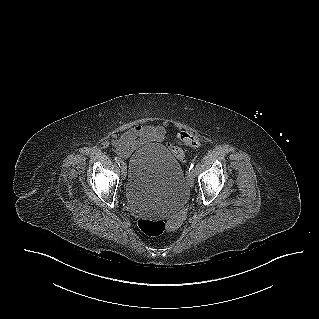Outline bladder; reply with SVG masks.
<instances>
[{"label": "bladder", "instance_id": "1", "mask_svg": "<svg viewBox=\"0 0 319 319\" xmlns=\"http://www.w3.org/2000/svg\"><path fill=\"white\" fill-rule=\"evenodd\" d=\"M125 197L143 216L166 217L187 200V179L176 157L160 143L137 150L126 167Z\"/></svg>", "mask_w": 319, "mask_h": 319}]
</instances>
